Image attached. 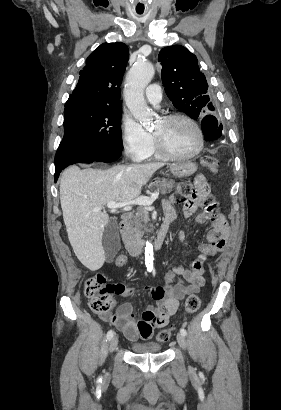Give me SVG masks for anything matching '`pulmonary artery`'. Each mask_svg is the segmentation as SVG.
<instances>
[{
  "label": "pulmonary artery",
  "instance_id": "1",
  "mask_svg": "<svg viewBox=\"0 0 281 410\" xmlns=\"http://www.w3.org/2000/svg\"><path fill=\"white\" fill-rule=\"evenodd\" d=\"M146 98L152 105L158 106L162 100V90L159 84H151L146 88Z\"/></svg>",
  "mask_w": 281,
  "mask_h": 410
}]
</instances>
